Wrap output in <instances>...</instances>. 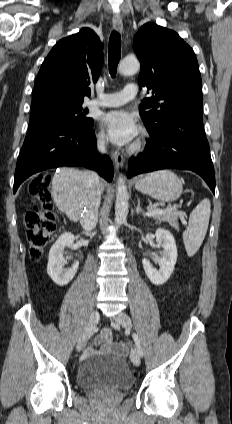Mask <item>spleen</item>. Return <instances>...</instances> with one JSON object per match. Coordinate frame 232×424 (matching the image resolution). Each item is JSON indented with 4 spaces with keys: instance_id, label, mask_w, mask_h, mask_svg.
<instances>
[{
    "instance_id": "obj_1",
    "label": "spleen",
    "mask_w": 232,
    "mask_h": 424,
    "mask_svg": "<svg viewBox=\"0 0 232 424\" xmlns=\"http://www.w3.org/2000/svg\"><path fill=\"white\" fill-rule=\"evenodd\" d=\"M209 219L210 201L205 198L190 213L188 227L183 233V242L189 257L200 248L208 229Z\"/></svg>"
}]
</instances>
